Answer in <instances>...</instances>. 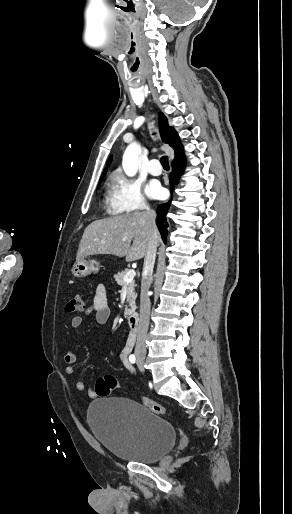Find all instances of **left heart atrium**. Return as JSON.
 Masks as SVG:
<instances>
[{
	"label": "left heart atrium",
	"instance_id": "obj_1",
	"mask_svg": "<svg viewBox=\"0 0 292 514\" xmlns=\"http://www.w3.org/2000/svg\"><path fill=\"white\" fill-rule=\"evenodd\" d=\"M162 189L161 187L158 185V184H155V183H151L148 187H147V194L151 197V198H160L162 196Z\"/></svg>",
	"mask_w": 292,
	"mask_h": 514
}]
</instances>
